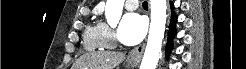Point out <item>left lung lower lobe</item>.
<instances>
[{
    "label": "left lung lower lobe",
    "instance_id": "1",
    "mask_svg": "<svg viewBox=\"0 0 246 69\" xmlns=\"http://www.w3.org/2000/svg\"><path fill=\"white\" fill-rule=\"evenodd\" d=\"M171 8H173V3H170ZM176 22V16L172 13L171 16V23L169 26V34H168V43L166 45V53L169 54V52L172 50V38L176 34L174 24Z\"/></svg>",
    "mask_w": 246,
    "mask_h": 69
}]
</instances>
